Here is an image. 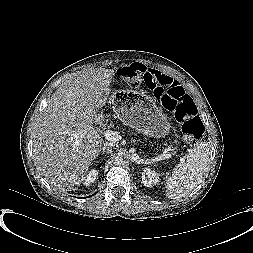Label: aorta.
<instances>
[{
  "label": "aorta",
  "mask_w": 253,
  "mask_h": 253,
  "mask_svg": "<svg viewBox=\"0 0 253 253\" xmlns=\"http://www.w3.org/2000/svg\"><path fill=\"white\" fill-rule=\"evenodd\" d=\"M114 164L115 165H122L123 162H124V159L121 155H117L115 158H114Z\"/></svg>",
  "instance_id": "762f6f07"
}]
</instances>
